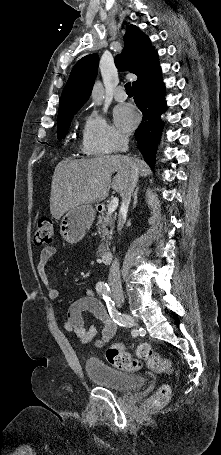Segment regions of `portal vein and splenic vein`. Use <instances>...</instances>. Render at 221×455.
<instances>
[{
	"mask_svg": "<svg viewBox=\"0 0 221 455\" xmlns=\"http://www.w3.org/2000/svg\"><path fill=\"white\" fill-rule=\"evenodd\" d=\"M96 181H97V180H95V182H96ZM118 201H119V200H118V198H116V197L113 198V199L111 200V202H110L109 205H108V213H107L108 215H111L112 213L115 212V210H116L117 207H118Z\"/></svg>",
	"mask_w": 221,
	"mask_h": 455,
	"instance_id": "1",
	"label": "portal vein and splenic vein"
}]
</instances>
